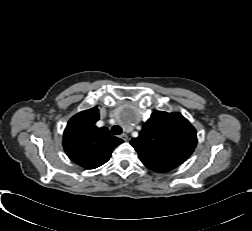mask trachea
I'll return each instance as SVG.
<instances>
[{"label": "trachea", "mask_w": 252, "mask_h": 231, "mask_svg": "<svg viewBox=\"0 0 252 231\" xmlns=\"http://www.w3.org/2000/svg\"><path fill=\"white\" fill-rule=\"evenodd\" d=\"M111 132L114 135H120L122 133V128L118 125H115L112 127Z\"/></svg>", "instance_id": "3493384b"}]
</instances>
